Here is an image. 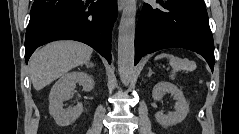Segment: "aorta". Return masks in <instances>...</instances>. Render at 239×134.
<instances>
[{
  "label": "aorta",
  "mask_w": 239,
  "mask_h": 134,
  "mask_svg": "<svg viewBox=\"0 0 239 134\" xmlns=\"http://www.w3.org/2000/svg\"><path fill=\"white\" fill-rule=\"evenodd\" d=\"M136 11L137 1L126 0L118 28V71L124 85L131 82L134 73Z\"/></svg>",
  "instance_id": "1"
}]
</instances>
